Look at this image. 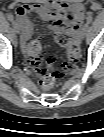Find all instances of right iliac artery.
I'll return each mask as SVG.
<instances>
[{
    "mask_svg": "<svg viewBox=\"0 0 104 137\" xmlns=\"http://www.w3.org/2000/svg\"><path fill=\"white\" fill-rule=\"evenodd\" d=\"M7 18H8V20H10L12 22L14 21V17L11 13L7 14Z\"/></svg>",
    "mask_w": 104,
    "mask_h": 137,
    "instance_id": "82829eb1",
    "label": "right iliac artery"
}]
</instances>
